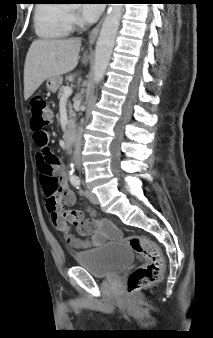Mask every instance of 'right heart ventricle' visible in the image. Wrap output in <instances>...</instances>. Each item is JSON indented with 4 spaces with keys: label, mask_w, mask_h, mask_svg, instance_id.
<instances>
[{
    "label": "right heart ventricle",
    "mask_w": 213,
    "mask_h": 338,
    "mask_svg": "<svg viewBox=\"0 0 213 338\" xmlns=\"http://www.w3.org/2000/svg\"><path fill=\"white\" fill-rule=\"evenodd\" d=\"M65 8L59 4H38L35 9V30L45 39H60L68 35L70 26L65 21Z\"/></svg>",
    "instance_id": "obj_1"
}]
</instances>
